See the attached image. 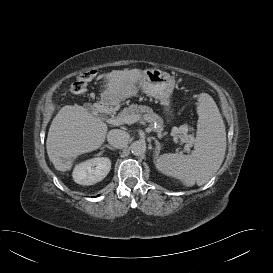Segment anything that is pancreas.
Segmentation results:
<instances>
[{
  "label": "pancreas",
  "mask_w": 273,
  "mask_h": 273,
  "mask_svg": "<svg viewBox=\"0 0 273 273\" xmlns=\"http://www.w3.org/2000/svg\"><path fill=\"white\" fill-rule=\"evenodd\" d=\"M131 115H139L143 117L144 122H149L151 125H153L155 122L157 123V129L156 131H161L163 129V119L158 116L156 113L153 112V110L144 105H135L132 104L126 108H124L120 113V118H125L127 116ZM188 126L182 125L178 129V135L179 137L185 141L188 142L190 145L193 143L194 138L191 134H188Z\"/></svg>",
  "instance_id": "1"
}]
</instances>
